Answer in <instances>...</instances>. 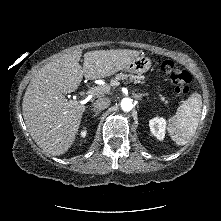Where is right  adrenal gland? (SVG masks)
Returning a JSON list of instances; mask_svg holds the SVG:
<instances>
[{
    "label": "right adrenal gland",
    "instance_id": "2a0ac1e0",
    "mask_svg": "<svg viewBox=\"0 0 221 221\" xmlns=\"http://www.w3.org/2000/svg\"><path fill=\"white\" fill-rule=\"evenodd\" d=\"M92 112H94L95 116H98L101 112L100 111H97L95 109H91Z\"/></svg>",
    "mask_w": 221,
    "mask_h": 221
}]
</instances>
